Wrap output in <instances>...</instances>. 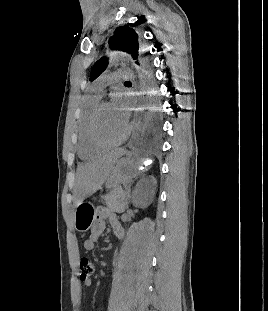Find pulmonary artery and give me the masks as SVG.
Instances as JSON below:
<instances>
[{"label":"pulmonary artery","instance_id":"obj_1","mask_svg":"<svg viewBox=\"0 0 268 311\" xmlns=\"http://www.w3.org/2000/svg\"><path fill=\"white\" fill-rule=\"evenodd\" d=\"M132 76V72L127 69H118L108 75L100 77L92 86L91 91L95 96L101 97L103 88L108 83L120 82L122 80L129 79Z\"/></svg>","mask_w":268,"mask_h":311}]
</instances>
